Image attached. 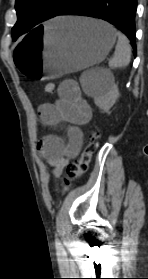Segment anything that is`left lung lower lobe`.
<instances>
[{
	"mask_svg": "<svg viewBox=\"0 0 148 279\" xmlns=\"http://www.w3.org/2000/svg\"><path fill=\"white\" fill-rule=\"evenodd\" d=\"M137 0H72L58 15H83L106 20L131 41L136 54L135 14Z\"/></svg>",
	"mask_w": 148,
	"mask_h": 279,
	"instance_id": "left-lung-lower-lobe-1",
	"label": "left lung lower lobe"
}]
</instances>
